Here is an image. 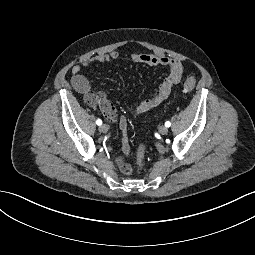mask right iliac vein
Returning <instances> with one entry per match:
<instances>
[{"label":"right iliac vein","mask_w":255,"mask_h":255,"mask_svg":"<svg viewBox=\"0 0 255 255\" xmlns=\"http://www.w3.org/2000/svg\"><path fill=\"white\" fill-rule=\"evenodd\" d=\"M99 131L101 133H106L108 131V126L106 124H102L99 126Z\"/></svg>","instance_id":"obj_1"}]
</instances>
